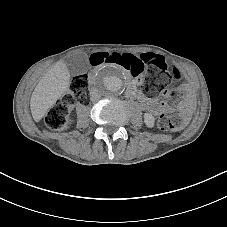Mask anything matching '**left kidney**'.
Masks as SVG:
<instances>
[{
    "label": "left kidney",
    "mask_w": 227,
    "mask_h": 227,
    "mask_svg": "<svg viewBox=\"0 0 227 227\" xmlns=\"http://www.w3.org/2000/svg\"><path fill=\"white\" fill-rule=\"evenodd\" d=\"M144 122H145L147 127L152 128V127H154L155 118L152 114L145 113L144 114Z\"/></svg>",
    "instance_id": "obj_1"
}]
</instances>
